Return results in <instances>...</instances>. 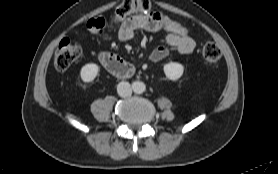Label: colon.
<instances>
[{"label": "colon", "instance_id": "5ec220e1", "mask_svg": "<svg viewBox=\"0 0 278 174\" xmlns=\"http://www.w3.org/2000/svg\"><path fill=\"white\" fill-rule=\"evenodd\" d=\"M150 4L147 0H125L121 3L115 12L113 26L118 27L120 23L130 15L136 13H149ZM163 27L180 37H190L188 28L181 22L174 20L166 15L160 17ZM87 29L91 33L101 34L106 27V20L102 17L92 18L87 24ZM82 46L80 43L71 39H64L60 42L54 57V65L57 70L64 71L76 62L82 55ZM204 62L209 66H215L221 57L219 47L212 42L206 43L202 49Z\"/></svg>", "mask_w": 278, "mask_h": 174}]
</instances>
